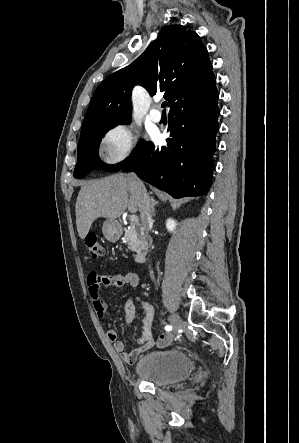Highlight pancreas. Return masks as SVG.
Returning <instances> with one entry per match:
<instances>
[{"instance_id":"obj_1","label":"pancreas","mask_w":299,"mask_h":443,"mask_svg":"<svg viewBox=\"0 0 299 443\" xmlns=\"http://www.w3.org/2000/svg\"><path fill=\"white\" fill-rule=\"evenodd\" d=\"M142 235H143V230L136 224H131L130 228L125 229L124 240L128 244V248L131 251L137 250Z\"/></svg>"}]
</instances>
